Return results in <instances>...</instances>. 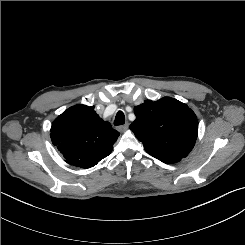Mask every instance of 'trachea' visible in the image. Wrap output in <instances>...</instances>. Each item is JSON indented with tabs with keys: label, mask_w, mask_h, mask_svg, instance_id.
Returning <instances> with one entry per match:
<instances>
[{
	"label": "trachea",
	"mask_w": 245,
	"mask_h": 245,
	"mask_svg": "<svg viewBox=\"0 0 245 245\" xmlns=\"http://www.w3.org/2000/svg\"><path fill=\"white\" fill-rule=\"evenodd\" d=\"M125 123V116L122 111H118L114 120V125L115 126H120Z\"/></svg>",
	"instance_id": "trachea-1"
}]
</instances>
